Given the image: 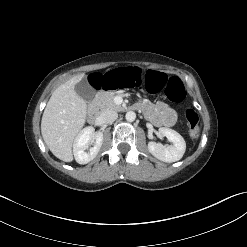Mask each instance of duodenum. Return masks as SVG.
I'll return each instance as SVG.
<instances>
[{
    "label": "duodenum",
    "mask_w": 247,
    "mask_h": 247,
    "mask_svg": "<svg viewBox=\"0 0 247 247\" xmlns=\"http://www.w3.org/2000/svg\"><path fill=\"white\" fill-rule=\"evenodd\" d=\"M98 116V110L95 105H90L87 110V118L90 121H93L97 118Z\"/></svg>",
    "instance_id": "obj_1"
}]
</instances>
